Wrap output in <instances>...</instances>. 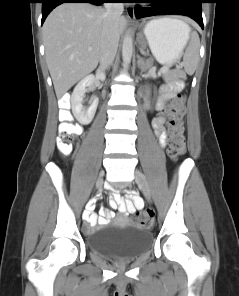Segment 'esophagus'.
Here are the masks:
<instances>
[{
  "instance_id": "1",
  "label": "esophagus",
  "mask_w": 239,
  "mask_h": 296,
  "mask_svg": "<svg viewBox=\"0 0 239 296\" xmlns=\"http://www.w3.org/2000/svg\"><path fill=\"white\" fill-rule=\"evenodd\" d=\"M126 13L129 20L135 19L134 8L132 6L126 7Z\"/></svg>"
}]
</instances>
